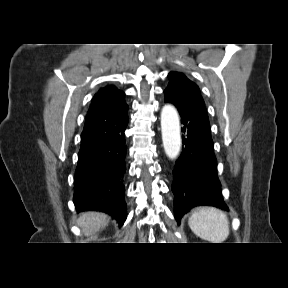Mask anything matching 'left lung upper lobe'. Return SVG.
<instances>
[{"mask_svg":"<svg viewBox=\"0 0 288 288\" xmlns=\"http://www.w3.org/2000/svg\"><path fill=\"white\" fill-rule=\"evenodd\" d=\"M169 85L164 90L165 96L171 97L180 103L205 105L199 87L180 72H170Z\"/></svg>","mask_w":288,"mask_h":288,"instance_id":"left-lung-upper-lobe-1","label":"left lung upper lobe"}]
</instances>
